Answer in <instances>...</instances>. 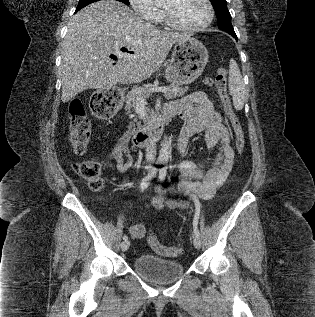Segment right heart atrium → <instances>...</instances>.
Wrapping results in <instances>:
<instances>
[{
    "label": "right heart atrium",
    "instance_id": "obj_1",
    "mask_svg": "<svg viewBox=\"0 0 315 317\" xmlns=\"http://www.w3.org/2000/svg\"><path fill=\"white\" fill-rule=\"evenodd\" d=\"M129 3L134 11L147 21H158L161 16V11L152 0H129Z\"/></svg>",
    "mask_w": 315,
    "mask_h": 317
}]
</instances>
